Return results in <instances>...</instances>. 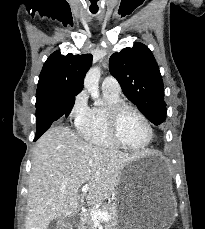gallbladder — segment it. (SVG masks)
Returning <instances> with one entry per match:
<instances>
[{
  "mask_svg": "<svg viewBox=\"0 0 205 229\" xmlns=\"http://www.w3.org/2000/svg\"><path fill=\"white\" fill-rule=\"evenodd\" d=\"M47 229H67V220L61 218L54 219L48 224Z\"/></svg>",
  "mask_w": 205,
  "mask_h": 229,
  "instance_id": "obj_1",
  "label": "gallbladder"
}]
</instances>
